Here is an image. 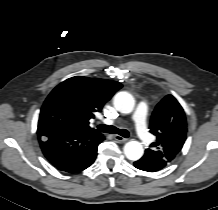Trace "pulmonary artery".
<instances>
[{
  "label": "pulmonary artery",
  "instance_id": "obj_1",
  "mask_svg": "<svg viewBox=\"0 0 218 210\" xmlns=\"http://www.w3.org/2000/svg\"><path fill=\"white\" fill-rule=\"evenodd\" d=\"M147 110L148 106L146 102L142 101L139 103L134 115V122L137 134L142 142H144L145 144H149L151 141V137L146 126ZM108 123L111 124L112 122L109 121Z\"/></svg>",
  "mask_w": 218,
  "mask_h": 210
}]
</instances>
